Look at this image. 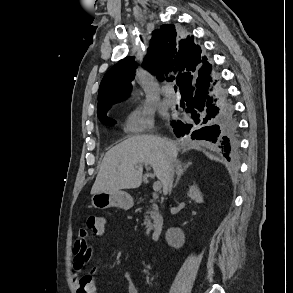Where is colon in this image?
I'll return each mask as SVG.
<instances>
[{
    "label": "colon",
    "mask_w": 293,
    "mask_h": 293,
    "mask_svg": "<svg viewBox=\"0 0 293 293\" xmlns=\"http://www.w3.org/2000/svg\"><path fill=\"white\" fill-rule=\"evenodd\" d=\"M85 227L94 235H98L106 228V218L98 214H89L85 218Z\"/></svg>",
    "instance_id": "1"
}]
</instances>
